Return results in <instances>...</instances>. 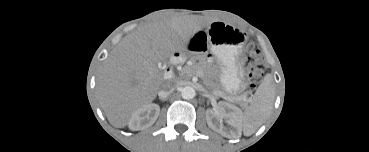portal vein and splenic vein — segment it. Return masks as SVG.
I'll return each instance as SVG.
<instances>
[{"label": "portal vein and splenic vein", "instance_id": "portal-vein-and-splenic-vein-1", "mask_svg": "<svg viewBox=\"0 0 369 152\" xmlns=\"http://www.w3.org/2000/svg\"><path fill=\"white\" fill-rule=\"evenodd\" d=\"M214 95H215V96H219V97H223V98H225L223 95H220V94H219V95H217V94H215V93H214ZM225 99H226V98H225Z\"/></svg>", "mask_w": 369, "mask_h": 152}]
</instances>
